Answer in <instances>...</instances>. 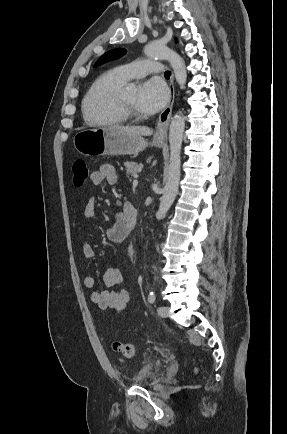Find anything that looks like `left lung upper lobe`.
<instances>
[{"label": "left lung upper lobe", "instance_id": "5c2ea615", "mask_svg": "<svg viewBox=\"0 0 287 434\" xmlns=\"http://www.w3.org/2000/svg\"><path fill=\"white\" fill-rule=\"evenodd\" d=\"M124 54H125V49H121V48L108 51L98 59V61L95 63V66H98V65H101L105 62L117 59Z\"/></svg>", "mask_w": 287, "mask_h": 434}]
</instances>
